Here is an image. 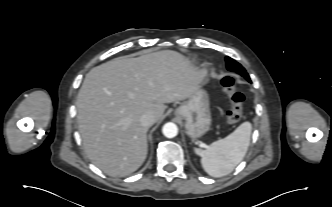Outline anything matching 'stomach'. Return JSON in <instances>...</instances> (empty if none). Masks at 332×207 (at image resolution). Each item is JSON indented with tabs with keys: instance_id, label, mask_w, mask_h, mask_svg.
I'll use <instances>...</instances> for the list:
<instances>
[{
	"instance_id": "stomach-1",
	"label": "stomach",
	"mask_w": 332,
	"mask_h": 207,
	"mask_svg": "<svg viewBox=\"0 0 332 207\" xmlns=\"http://www.w3.org/2000/svg\"><path fill=\"white\" fill-rule=\"evenodd\" d=\"M174 114L185 120V132L190 138L201 137L211 125L207 92L199 87L187 101L175 110Z\"/></svg>"
}]
</instances>
